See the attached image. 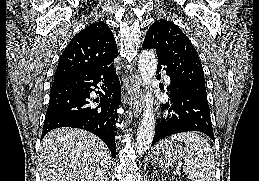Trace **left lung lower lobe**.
Returning a JSON list of instances; mask_svg holds the SVG:
<instances>
[{
  "label": "left lung lower lobe",
  "instance_id": "0a47b994",
  "mask_svg": "<svg viewBox=\"0 0 259 181\" xmlns=\"http://www.w3.org/2000/svg\"><path fill=\"white\" fill-rule=\"evenodd\" d=\"M164 64L158 61L157 72L163 68ZM166 74L171 79V84L167 87L170 96L168 102L162 104L163 110L173 111L169 118H162L158 121L152 145L160 139L181 132L200 131L209 136L213 141L214 133L210 117V109L207 102L199 99L190 89L176 83L170 73ZM161 89H164L161 87Z\"/></svg>",
  "mask_w": 259,
  "mask_h": 181
}]
</instances>
